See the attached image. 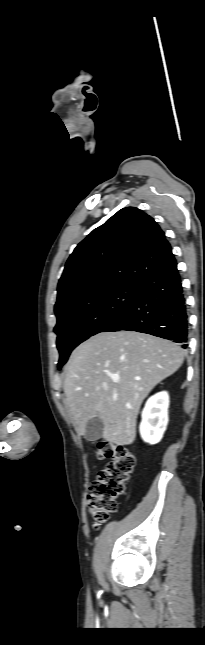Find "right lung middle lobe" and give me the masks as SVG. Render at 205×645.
I'll list each match as a JSON object with an SVG mask.
<instances>
[{
  "instance_id": "1",
  "label": "right lung middle lobe",
  "mask_w": 205,
  "mask_h": 645,
  "mask_svg": "<svg viewBox=\"0 0 205 645\" xmlns=\"http://www.w3.org/2000/svg\"><path fill=\"white\" fill-rule=\"evenodd\" d=\"M137 284H124L90 295L56 313L54 332L60 353L58 369L66 363L71 351L81 342L101 332L136 299Z\"/></svg>"
}]
</instances>
